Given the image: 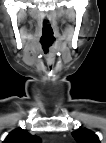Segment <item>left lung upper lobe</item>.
Segmentation results:
<instances>
[{
  "label": "left lung upper lobe",
  "mask_w": 106,
  "mask_h": 143,
  "mask_svg": "<svg viewBox=\"0 0 106 143\" xmlns=\"http://www.w3.org/2000/svg\"><path fill=\"white\" fill-rule=\"evenodd\" d=\"M77 143H100L98 136L85 128L78 129L71 133Z\"/></svg>",
  "instance_id": "5c2ea615"
}]
</instances>
